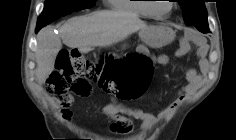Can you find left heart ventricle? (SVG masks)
Wrapping results in <instances>:
<instances>
[{
	"label": "left heart ventricle",
	"mask_w": 236,
	"mask_h": 140,
	"mask_svg": "<svg viewBox=\"0 0 236 140\" xmlns=\"http://www.w3.org/2000/svg\"><path fill=\"white\" fill-rule=\"evenodd\" d=\"M155 9L160 14H165L170 9V2L159 1L155 5Z\"/></svg>",
	"instance_id": "1"
}]
</instances>
